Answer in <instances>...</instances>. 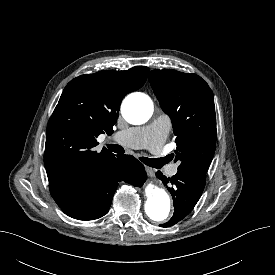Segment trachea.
<instances>
[{
  "instance_id": "trachea-1",
  "label": "trachea",
  "mask_w": 275,
  "mask_h": 275,
  "mask_svg": "<svg viewBox=\"0 0 275 275\" xmlns=\"http://www.w3.org/2000/svg\"><path fill=\"white\" fill-rule=\"evenodd\" d=\"M107 147L115 152V153H118V154H122L124 153V148L120 145H117V144H113V145H107ZM140 160L146 164L147 166H150V167H154V168H161L164 164L168 163L169 162V159L168 157H164V158H146V157H140Z\"/></svg>"
}]
</instances>
